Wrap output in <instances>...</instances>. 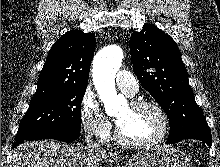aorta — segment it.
Masks as SVG:
<instances>
[{
	"mask_svg": "<svg viewBox=\"0 0 220 167\" xmlns=\"http://www.w3.org/2000/svg\"><path fill=\"white\" fill-rule=\"evenodd\" d=\"M123 52L119 46L110 45L102 49L93 61V81L108 115H114L125 102L115 88V76L122 65Z\"/></svg>",
	"mask_w": 220,
	"mask_h": 167,
	"instance_id": "1",
	"label": "aorta"
}]
</instances>
